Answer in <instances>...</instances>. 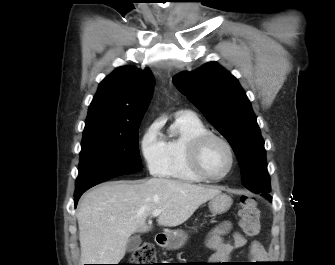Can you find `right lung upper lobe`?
Wrapping results in <instances>:
<instances>
[{"label":"right lung upper lobe","instance_id":"obj_1","mask_svg":"<svg viewBox=\"0 0 335 265\" xmlns=\"http://www.w3.org/2000/svg\"><path fill=\"white\" fill-rule=\"evenodd\" d=\"M153 85L154 77L148 68H116L100 83L89 106L83 134L93 131L119 132L140 122Z\"/></svg>","mask_w":335,"mask_h":265}]
</instances>
